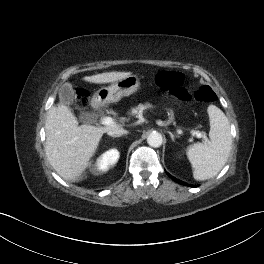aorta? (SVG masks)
Here are the masks:
<instances>
[{
	"instance_id": "1",
	"label": "aorta",
	"mask_w": 264,
	"mask_h": 264,
	"mask_svg": "<svg viewBox=\"0 0 264 264\" xmlns=\"http://www.w3.org/2000/svg\"><path fill=\"white\" fill-rule=\"evenodd\" d=\"M162 142H163L162 135L158 132L150 133L147 138V143L149 144V146L154 148L160 147L162 145Z\"/></svg>"
}]
</instances>
